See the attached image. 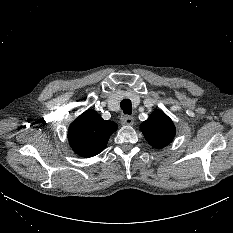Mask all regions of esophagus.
I'll use <instances>...</instances> for the list:
<instances>
[{
  "label": "esophagus",
  "instance_id": "1",
  "mask_svg": "<svg viewBox=\"0 0 233 233\" xmlns=\"http://www.w3.org/2000/svg\"><path fill=\"white\" fill-rule=\"evenodd\" d=\"M134 123V118L132 116L126 115L122 117L121 124L123 126H131Z\"/></svg>",
  "mask_w": 233,
  "mask_h": 233
}]
</instances>
